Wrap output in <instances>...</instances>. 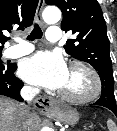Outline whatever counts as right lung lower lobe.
Segmentation results:
<instances>
[{
	"label": "right lung lower lobe",
	"mask_w": 117,
	"mask_h": 131,
	"mask_svg": "<svg viewBox=\"0 0 117 131\" xmlns=\"http://www.w3.org/2000/svg\"><path fill=\"white\" fill-rule=\"evenodd\" d=\"M16 69L17 65L13 63L6 66L5 70H0V95L22 102L20 90L24 84L14 75Z\"/></svg>",
	"instance_id": "right-lung-lower-lobe-1"
}]
</instances>
